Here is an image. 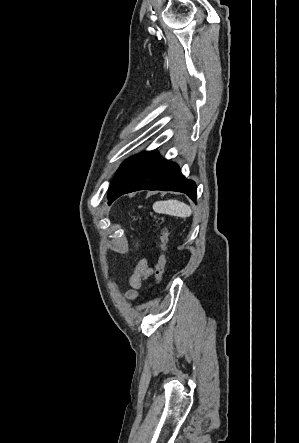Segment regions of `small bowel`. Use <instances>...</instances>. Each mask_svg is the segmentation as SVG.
Wrapping results in <instances>:
<instances>
[{
	"label": "small bowel",
	"mask_w": 299,
	"mask_h": 443,
	"mask_svg": "<svg viewBox=\"0 0 299 443\" xmlns=\"http://www.w3.org/2000/svg\"><path fill=\"white\" fill-rule=\"evenodd\" d=\"M153 270L149 266L147 259H141L132 275L129 278L130 290L127 292V299L134 300L138 295V291L142 289L144 283L148 280V278L152 275Z\"/></svg>",
	"instance_id": "small-bowel-1"
}]
</instances>
